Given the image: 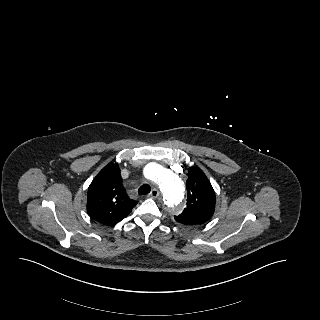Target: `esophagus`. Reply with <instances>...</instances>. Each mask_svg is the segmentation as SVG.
<instances>
[{
	"label": "esophagus",
	"instance_id": "1",
	"mask_svg": "<svg viewBox=\"0 0 320 320\" xmlns=\"http://www.w3.org/2000/svg\"><path fill=\"white\" fill-rule=\"evenodd\" d=\"M159 194H160L159 190L154 188L151 190L148 196L151 198H157Z\"/></svg>",
	"mask_w": 320,
	"mask_h": 320
}]
</instances>
